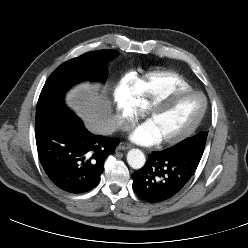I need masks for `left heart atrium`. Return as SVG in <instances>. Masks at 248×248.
Listing matches in <instances>:
<instances>
[{
    "label": "left heart atrium",
    "instance_id": "left-heart-atrium-1",
    "mask_svg": "<svg viewBox=\"0 0 248 248\" xmlns=\"http://www.w3.org/2000/svg\"><path fill=\"white\" fill-rule=\"evenodd\" d=\"M130 138L141 145H154L161 141L148 121L134 129L130 134Z\"/></svg>",
    "mask_w": 248,
    "mask_h": 248
}]
</instances>
